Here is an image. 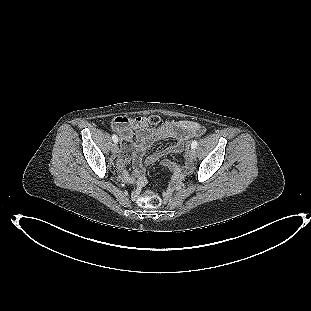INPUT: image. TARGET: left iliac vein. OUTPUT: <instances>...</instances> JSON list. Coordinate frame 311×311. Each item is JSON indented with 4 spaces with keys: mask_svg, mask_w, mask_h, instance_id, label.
Returning <instances> with one entry per match:
<instances>
[{
    "mask_svg": "<svg viewBox=\"0 0 311 311\" xmlns=\"http://www.w3.org/2000/svg\"><path fill=\"white\" fill-rule=\"evenodd\" d=\"M189 157L194 160L196 158V151L195 149H190L189 150Z\"/></svg>",
    "mask_w": 311,
    "mask_h": 311,
    "instance_id": "obj_1",
    "label": "left iliac vein"
}]
</instances>
